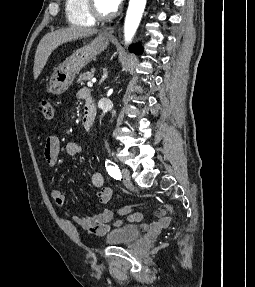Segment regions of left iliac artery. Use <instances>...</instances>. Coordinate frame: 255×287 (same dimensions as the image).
I'll list each match as a JSON object with an SVG mask.
<instances>
[{
	"label": "left iliac artery",
	"mask_w": 255,
	"mask_h": 287,
	"mask_svg": "<svg viewBox=\"0 0 255 287\" xmlns=\"http://www.w3.org/2000/svg\"><path fill=\"white\" fill-rule=\"evenodd\" d=\"M105 167L110 176H112L114 179H117V180L121 179L122 175H121L120 169L115 163H113L110 160H107L105 162Z\"/></svg>",
	"instance_id": "obj_1"
}]
</instances>
